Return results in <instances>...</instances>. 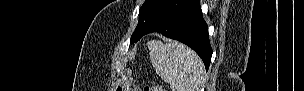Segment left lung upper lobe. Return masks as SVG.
<instances>
[{"mask_svg":"<svg viewBox=\"0 0 304 91\" xmlns=\"http://www.w3.org/2000/svg\"><path fill=\"white\" fill-rule=\"evenodd\" d=\"M171 0H146L139 10V21L131 36V43L137 42L160 17Z\"/></svg>","mask_w":304,"mask_h":91,"instance_id":"5c2ea615","label":"left lung upper lobe"}]
</instances>
